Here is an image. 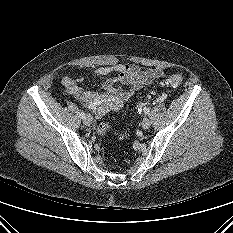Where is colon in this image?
<instances>
[{"label": "colon", "instance_id": "colon-1", "mask_svg": "<svg viewBox=\"0 0 233 233\" xmlns=\"http://www.w3.org/2000/svg\"><path fill=\"white\" fill-rule=\"evenodd\" d=\"M182 81H183V76L181 74H173V75L169 76L166 80H164L162 82V85L167 86V87H177L182 83ZM153 96H154V94L152 93V94L148 95L146 98L141 99L137 104V109L141 110L143 108V106L145 105L147 99H150ZM110 130H111V127L107 123H101L97 128V131L100 135H105ZM119 136L121 138H126L127 133H120Z\"/></svg>", "mask_w": 233, "mask_h": 233}]
</instances>
